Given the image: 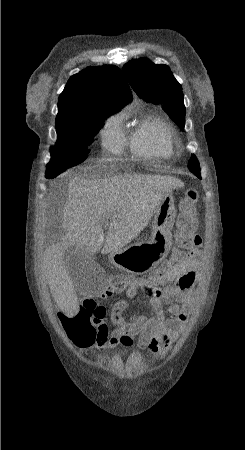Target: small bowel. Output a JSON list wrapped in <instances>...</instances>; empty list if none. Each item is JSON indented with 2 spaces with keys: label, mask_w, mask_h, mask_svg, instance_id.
I'll list each match as a JSON object with an SVG mask.
<instances>
[{
  "label": "small bowel",
  "mask_w": 245,
  "mask_h": 450,
  "mask_svg": "<svg viewBox=\"0 0 245 450\" xmlns=\"http://www.w3.org/2000/svg\"><path fill=\"white\" fill-rule=\"evenodd\" d=\"M201 251L194 249L184 258L168 264L163 274H156L153 282L148 278L135 280V283L125 288L128 298L135 297L140 290L147 294L146 307L149 315L134 314L128 320L124 312L128 308L125 300H118L113 304L109 324L102 321L96 327L97 337L92 343H76L79 347L89 349L96 347L100 351L112 348L124 341V335L137 334L140 348L147 354L158 357L166 355L182 331L193 307L192 289L199 273ZM162 281L158 285L157 281ZM111 289H106L100 297L108 298ZM168 307V315L163 307ZM77 311L74 297H63L58 305L57 320L63 325L64 318Z\"/></svg>",
  "instance_id": "1"
}]
</instances>
